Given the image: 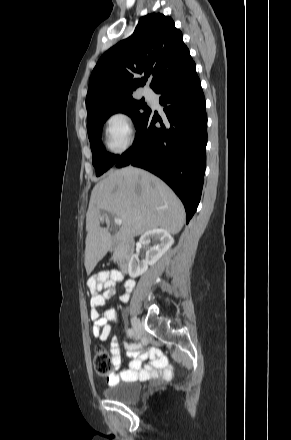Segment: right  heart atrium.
<instances>
[{"mask_svg":"<svg viewBox=\"0 0 291 440\" xmlns=\"http://www.w3.org/2000/svg\"><path fill=\"white\" fill-rule=\"evenodd\" d=\"M105 144L114 153H122L133 142L134 129L130 117L124 112L110 114L104 123Z\"/></svg>","mask_w":291,"mask_h":440,"instance_id":"d8ad5b80","label":"right heart atrium"}]
</instances>
